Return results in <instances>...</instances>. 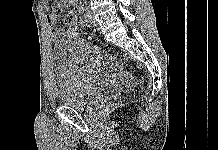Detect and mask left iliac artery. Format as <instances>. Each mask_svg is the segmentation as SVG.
Returning <instances> with one entry per match:
<instances>
[{"label": "left iliac artery", "instance_id": "left-iliac-artery-1", "mask_svg": "<svg viewBox=\"0 0 218 150\" xmlns=\"http://www.w3.org/2000/svg\"><path fill=\"white\" fill-rule=\"evenodd\" d=\"M81 17H82V19L84 20V21H82V23H83V24H87V23H88V20H87L86 14H85V13H82V14H81Z\"/></svg>", "mask_w": 218, "mask_h": 150}]
</instances>
